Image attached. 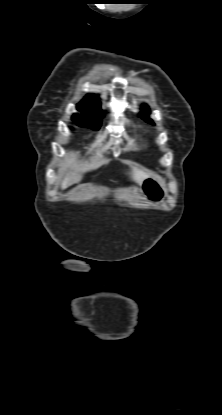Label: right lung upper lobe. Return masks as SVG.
Wrapping results in <instances>:
<instances>
[{
	"label": "right lung upper lobe",
	"mask_w": 222,
	"mask_h": 415,
	"mask_svg": "<svg viewBox=\"0 0 222 415\" xmlns=\"http://www.w3.org/2000/svg\"><path fill=\"white\" fill-rule=\"evenodd\" d=\"M101 102L99 98L94 94L86 95L80 103H78L77 108L93 111V112H101Z\"/></svg>",
	"instance_id": "right-lung-upper-lobe-1"
}]
</instances>
